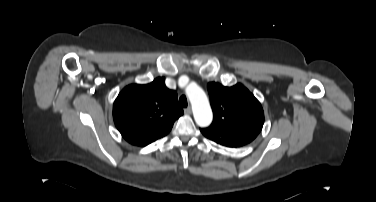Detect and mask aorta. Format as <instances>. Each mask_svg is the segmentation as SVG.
I'll use <instances>...</instances> for the list:
<instances>
[{"label":"aorta","instance_id":"1","mask_svg":"<svg viewBox=\"0 0 376 202\" xmlns=\"http://www.w3.org/2000/svg\"><path fill=\"white\" fill-rule=\"evenodd\" d=\"M181 80H179V83ZM186 94L193 108V115L196 124L200 127H207L213 119L212 110L205 92L195 83L186 87Z\"/></svg>","mask_w":376,"mask_h":202}]
</instances>
